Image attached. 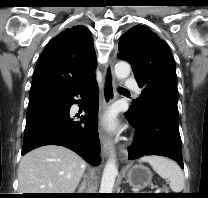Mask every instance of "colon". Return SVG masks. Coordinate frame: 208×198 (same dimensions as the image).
I'll list each match as a JSON object with an SVG mask.
<instances>
[{
  "instance_id": "colon-1",
  "label": "colon",
  "mask_w": 208,
  "mask_h": 198,
  "mask_svg": "<svg viewBox=\"0 0 208 198\" xmlns=\"http://www.w3.org/2000/svg\"><path fill=\"white\" fill-rule=\"evenodd\" d=\"M160 190L163 191V192H167V191H168V188L163 187V188H161Z\"/></svg>"
}]
</instances>
